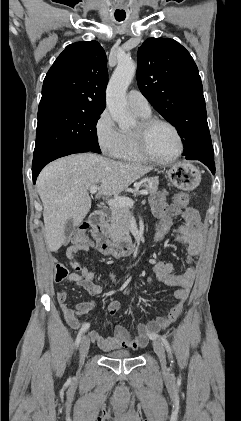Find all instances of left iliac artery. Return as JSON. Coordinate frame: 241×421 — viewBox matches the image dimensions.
Wrapping results in <instances>:
<instances>
[{"mask_svg": "<svg viewBox=\"0 0 241 421\" xmlns=\"http://www.w3.org/2000/svg\"><path fill=\"white\" fill-rule=\"evenodd\" d=\"M152 338L153 339H159L163 343V345L165 346V348H166V350L168 352L169 357L172 359L171 348H170V345H169L166 337L165 336H158V335H156V336H154ZM171 363H173V360H171Z\"/></svg>", "mask_w": 241, "mask_h": 421, "instance_id": "1", "label": "left iliac artery"}]
</instances>
